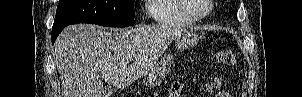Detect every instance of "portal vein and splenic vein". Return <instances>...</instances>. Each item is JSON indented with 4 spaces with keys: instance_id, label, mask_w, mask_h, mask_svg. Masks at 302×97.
<instances>
[{
    "instance_id": "1",
    "label": "portal vein and splenic vein",
    "mask_w": 302,
    "mask_h": 97,
    "mask_svg": "<svg viewBox=\"0 0 302 97\" xmlns=\"http://www.w3.org/2000/svg\"><path fill=\"white\" fill-rule=\"evenodd\" d=\"M127 60H132V57H131V56H130V57H128V58H127Z\"/></svg>"
}]
</instances>
